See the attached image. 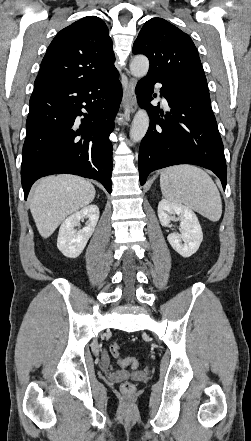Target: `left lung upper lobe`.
<instances>
[{"mask_svg": "<svg viewBox=\"0 0 251 441\" xmlns=\"http://www.w3.org/2000/svg\"><path fill=\"white\" fill-rule=\"evenodd\" d=\"M148 57L147 75L191 82L208 89L198 51L186 33L162 18L148 20L133 45Z\"/></svg>", "mask_w": 251, "mask_h": 441, "instance_id": "obj_1", "label": "left lung upper lobe"}]
</instances>
